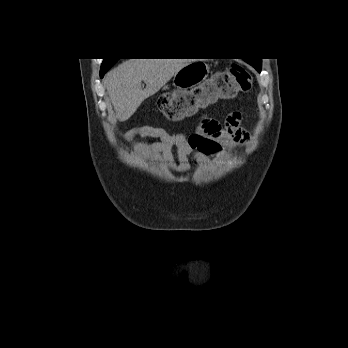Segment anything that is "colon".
I'll use <instances>...</instances> for the list:
<instances>
[{
  "label": "colon",
  "instance_id": "colon-1",
  "mask_svg": "<svg viewBox=\"0 0 348 348\" xmlns=\"http://www.w3.org/2000/svg\"><path fill=\"white\" fill-rule=\"evenodd\" d=\"M251 74L241 65L232 64L225 71L216 74L213 81L205 86L217 99H225L247 93L251 90ZM196 106L189 95L168 93L158 99V110L168 120H177L190 113ZM217 126V121L211 119Z\"/></svg>",
  "mask_w": 348,
  "mask_h": 348
}]
</instances>
